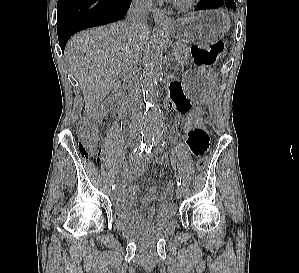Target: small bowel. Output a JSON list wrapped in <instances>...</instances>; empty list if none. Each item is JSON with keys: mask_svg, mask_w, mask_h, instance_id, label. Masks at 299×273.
<instances>
[{"mask_svg": "<svg viewBox=\"0 0 299 273\" xmlns=\"http://www.w3.org/2000/svg\"><path fill=\"white\" fill-rule=\"evenodd\" d=\"M169 99L172 108L185 115L190 112V103L181 91V87L174 83L169 89ZM185 142L195 156L203 155L209 146V137L205 128L198 127L186 134ZM149 158L147 156L134 157L123 169L122 180L118 184L117 202L119 208L138 219L145 217L151 218L153 209L150 204L153 201H159L158 217L165 218L171 216L176 211V206L170 201L173 196L174 184L172 181L167 182L161 189L152 188L145 193L141 205L134 209L133 204L139 187L130 186L129 183L139 178L147 169Z\"/></svg>", "mask_w": 299, "mask_h": 273, "instance_id": "1", "label": "small bowel"}]
</instances>
